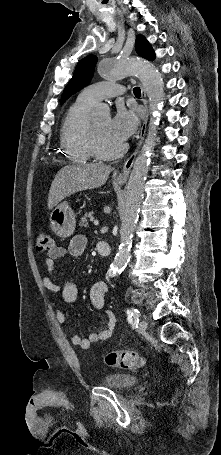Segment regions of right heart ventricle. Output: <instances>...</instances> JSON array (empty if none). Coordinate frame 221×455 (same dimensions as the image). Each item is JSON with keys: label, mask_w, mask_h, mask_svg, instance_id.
Returning a JSON list of instances; mask_svg holds the SVG:
<instances>
[{"label": "right heart ventricle", "mask_w": 221, "mask_h": 455, "mask_svg": "<svg viewBox=\"0 0 221 455\" xmlns=\"http://www.w3.org/2000/svg\"><path fill=\"white\" fill-rule=\"evenodd\" d=\"M93 105L80 96L68 109L60 132V146L64 155L74 163H84L91 159L88 145V113Z\"/></svg>", "instance_id": "right-heart-ventricle-1"}]
</instances>
